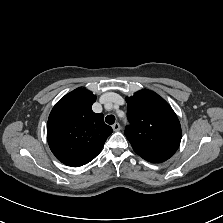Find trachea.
I'll return each mask as SVG.
<instances>
[{
  "mask_svg": "<svg viewBox=\"0 0 223 223\" xmlns=\"http://www.w3.org/2000/svg\"><path fill=\"white\" fill-rule=\"evenodd\" d=\"M105 122L108 123L109 125L114 124V122H115V116L114 115H108V116H106Z\"/></svg>",
  "mask_w": 223,
  "mask_h": 223,
  "instance_id": "1",
  "label": "trachea"
}]
</instances>
